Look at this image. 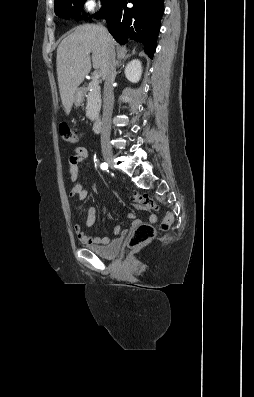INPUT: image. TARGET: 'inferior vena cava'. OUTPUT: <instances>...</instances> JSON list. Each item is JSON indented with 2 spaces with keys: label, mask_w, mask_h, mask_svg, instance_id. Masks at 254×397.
Returning <instances> with one entry per match:
<instances>
[{
  "label": "inferior vena cava",
  "mask_w": 254,
  "mask_h": 397,
  "mask_svg": "<svg viewBox=\"0 0 254 397\" xmlns=\"http://www.w3.org/2000/svg\"><path fill=\"white\" fill-rule=\"evenodd\" d=\"M104 37L109 41V35L104 28ZM116 77V63L115 52L113 47H109L108 60L104 76V93H103V115H102V131H101V146L102 148H110V131H111V116L113 111L114 97H113V83Z\"/></svg>",
  "instance_id": "inferior-vena-cava-1"
}]
</instances>
